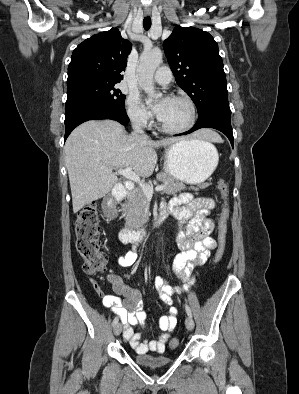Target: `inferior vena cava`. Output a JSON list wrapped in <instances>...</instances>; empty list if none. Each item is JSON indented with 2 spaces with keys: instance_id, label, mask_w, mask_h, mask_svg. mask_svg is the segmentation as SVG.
Segmentation results:
<instances>
[{
  "instance_id": "1",
  "label": "inferior vena cava",
  "mask_w": 299,
  "mask_h": 394,
  "mask_svg": "<svg viewBox=\"0 0 299 394\" xmlns=\"http://www.w3.org/2000/svg\"><path fill=\"white\" fill-rule=\"evenodd\" d=\"M132 128H133V131L135 134H139V135L143 136L144 138H148V136L145 135V133L141 127V123L138 119L133 120Z\"/></svg>"
}]
</instances>
